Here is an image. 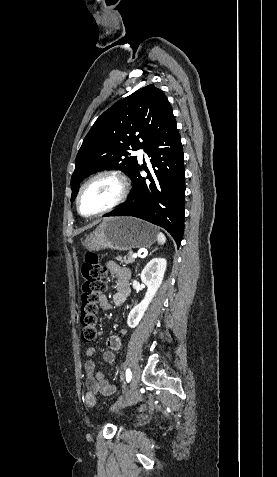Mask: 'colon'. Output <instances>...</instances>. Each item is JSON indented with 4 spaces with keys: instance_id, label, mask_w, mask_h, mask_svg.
I'll use <instances>...</instances> for the list:
<instances>
[{
    "instance_id": "obj_1",
    "label": "colon",
    "mask_w": 277,
    "mask_h": 477,
    "mask_svg": "<svg viewBox=\"0 0 277 477\" xmlns=\"http://www.w3.org/2000/svg\"><path fill=\"white\" fill-rule=\"evenodd\" d=\"M106 268L100 264L99 257L94 252H87L81 266V337L85 342H92L97 336V315L101 308L103 292L105 290L104 278ZM85 402L93 408L96 398L93 393L86 394Z\"/></svg>"
}]
</instances>
